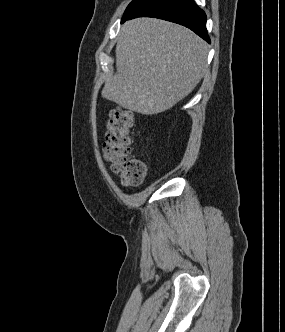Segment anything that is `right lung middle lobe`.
<instances>
[{
	"instance_id": "obj_1",
	"label": "right lung middle lobe",
	"mask_w": 285,
	"mask_h": 332,
	"mask_svg": "<svg viewBox=\"0 0 285 332\" xmlns=\"http://www.w3.org/2000/svg\"><path fill=\"white\" fill-rule=\"evenodd\" d=\"M148 0H133L126 8L122 21L129 17L132 13L142 7Z\"/></svg>"
}]
</instances>
